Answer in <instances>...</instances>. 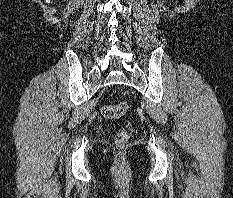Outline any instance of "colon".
<instances>
[{
	"instance_id": "1",
	"label": "colon",
	"mask_w": 233,
	"mask_h": 198,
	"mask_svg": "<svg viewBox=\"0 0 233 198\" xmlns=\"http://www.w3.org/2000/svg\"><path fill=\"white\" fill-rule=\"evenodd\" d=\"M128 109V105L125 102H120L113 105H105L102 108V114L108 119H115L123 116ZM130 138V133L128 130L123 129L116 133L115 135V145L118 148H123L127 144Z\"/></svg>"
}]
</instances>
